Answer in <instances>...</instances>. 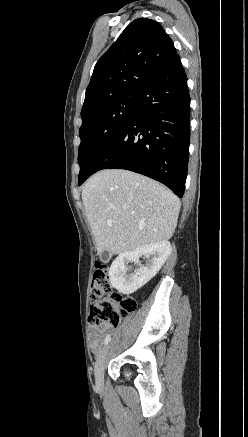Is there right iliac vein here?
Segmentation results:
<instances>
[{"label": "right iliac vein", "instance_id": "1", "mask_svg": "<svg viewBox=\"0 0 248 437\" xmlns=\"http://www.w3.org/2000/svg\"><path fill=\"white\" fill-rule=\"evenodd\" d=\"M110 346L106 345L99 353L95 367H94V375H95V382L98 387H101L103 385V379H104V364L105 359L108 354Z\"/></svg>", "mask_w": 248, "mask_h": 437}]
</instances>
